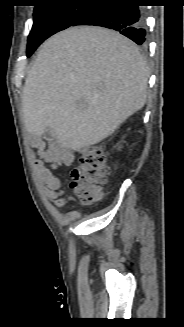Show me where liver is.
Listing matches in <instances>:
<instances>
[{
	"instance_id": "1",
	"label": "liver",
	"mask_w": 184,
	"mask_h": 327,
	"mask_svg": "<svg viewBox=\"0 0 184 327\" xmlns=\"http://www.w3.org/2000/svg\"><path fill=\"white\" fill-rule=\"evenodd\" d=\"M149 69L138 47L105 28L75 27L39 50L22 94L27 131L49 130L78 151L110 136L147 98Z\"/></svg>"
}]
</instances>
